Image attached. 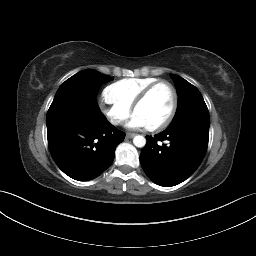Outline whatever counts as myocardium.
I'll list each match as a JSON object with an SVG mask.
<instances>
[{"mask_svg":"<svg viewBox=\"0 0 256 256\" xmlns=\"http://www.w3.org/2000/svg\"><path fill=\"white\" fill-rule=\"evenodd\" d=\"M160 85H167L171 89L172 94H173L172 106L170 108L169 113L162 121H160L159 123H157L153 126L147 127V129L149 131L161 130V129L165 128L167 125H169V123L172 121V119L176 113L177 107H178L179 98H178V92H177V89L175 88V86L167 80H159V81L149 85L142 91V93L137 97V99L135 100V102L132 106V112L134 113L135 110L146 101V99L149 97L151 92Z\"/></svg>","mask_w":256,"mask_h":256,"instance_id":"obj_1","label":"myocardium"}]
</instances>
